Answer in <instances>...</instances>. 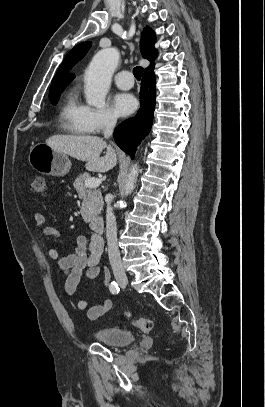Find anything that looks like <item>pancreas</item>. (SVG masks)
Instances as JSON below:
<instances>
[{
    "label": "pancreas",
    "instance_id": "obj_1",
    "mask_svg": "<svg viewBox=\"0 0 265 407\" xmlns=\"http://www.w3.org/2000/svg\"><path fill=\"white\" fill-rule=\"evenodd\" d=\"M90 178L88 173H83L75 179L73 184L79 197L83 200L81 205L82 217L88 222L101 213L104 204L101 191L85 185V181Z\"/></svg>",
    "mask_w": 265,
    "mask_h": 407
}]
</instances>
